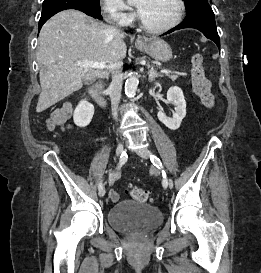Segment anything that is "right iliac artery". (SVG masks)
Masks as SVG:
<instances>
[{"instance_id":"82829eb1","label":"right iliac artery","mask_w":261,"mask_h":273,"mask_svg":"<svg viewBox=\"0 0 261 273\" xmlns=\"http://www.w3.org/2000/svg\"><path fill=\"white\" fill-rule=\"evenodd\" d=\"M127 158H128V156H127L126 152H123V153L121 154V156H120V160H119V163H118V165H117L116 168H117V169H120V168L122 167V165H124V164L126 163ZM98 189H99V190L103 189V183H102V181L99 183Z\"/></svg>"}]
</instances>
